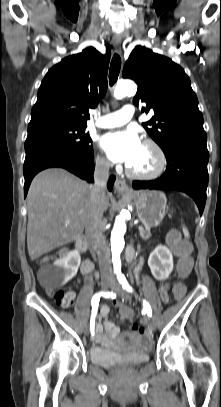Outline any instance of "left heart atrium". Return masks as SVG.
<instances>
[{
    "instance_id": "obj_1",
    "label": "left heart atrium",
    "mask_w": 221,
    "mask_h": 407,
    "mask_svg": "<svg viewBox=\"0 0 221 407\" xmlns=\"http://www.w3.org/2000/svg\"><path fill=\"white\" fill-rule=\"evenodd\" d=\"M100 144L112 161L127 164L136 158L142 145L137 134L131 130L106 134Z\"/></svg>"
}]
</instances>
